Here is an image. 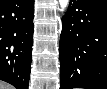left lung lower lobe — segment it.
Segmentation results:
<instances>
[{"label":"left lung lower lobe","mask_w":107,"mask_h":89,"mask_svg":"<svg viewBox=\"0 0 107 89\" xmlns=\"http://www.w3.org/2000/svg\"><path fill=\"white\" fill-rule=\"evenodd\" d=\"M107 89V0H71L62 19L60 89Z\"/></svg>","instance_id":"0a47b994"}]
</instances>
